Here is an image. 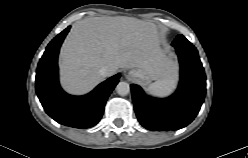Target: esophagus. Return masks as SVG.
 Instances as JSON below:
<instances>
[{
    "mask_svg": "<svg viewBox=\"0 0 248 158\" xmlns=\"http://www.w3.org/2000/svg\"><path fill=\"white\" fill-rule=\"evenodd\" d=\"M133 74V71H129V72H127V74H125L126 75V77H129L130 75H132Z\"/></svg>",
    "mask_w": 248,
    "mask_h": 158,
    "instance_id": "esophagus-1",
    "label": "esophagus"
}]
</instances>
